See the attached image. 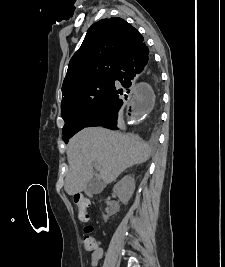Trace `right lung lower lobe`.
Instances as JSON below:
<instances>
[{"label": "right lung lower lobe", "instance_id": "98d812e1", "mask_svg": "<svg viewBox=\"0 0 225 267\" xmlns=\"http://www.w3.org/2000/svg\"><path fill=\"white\" fill-rule=\"evenodd\" d=\"M140 74L146 75L154 85L159 84V76L144 42L127 51L120 59L114 72V85L103 105L91 117L86 127L103 126L112 130L118 129L119 110L126 105L127 94L136 85ZM115 81H119V88Z\"/></svg>", "mask_w": 225, "mask_h": 267}]
</instances>
